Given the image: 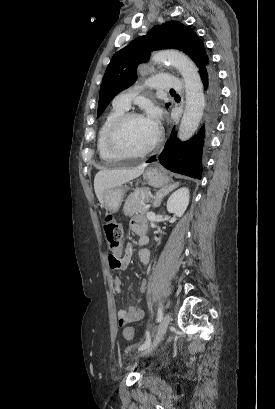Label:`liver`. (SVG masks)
I'll return each mask as SVG.
<instances>
[{
  "label": "liver",
  "instance_id": "liver-1",
  "mask_svg": "<svg viewBox=\"0 0 275 409\" xmlns=\"http://www.w3.org/2000/svg\"><path fill=\"white\" fill-rule=\"evenodd\" d=\"M145 168V164H140L137 168L132 170H99L94 178V188L96 196L103 205V194L108 188H114V186H121L124 182L133 180L136 176H140Z\"/></svg>",
  "mask_w": 275,
  "mask_h": 409
}]
</instances>
